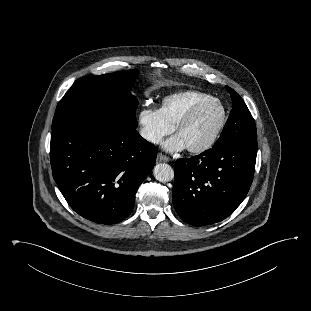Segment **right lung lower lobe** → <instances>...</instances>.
I'll return each instance as SVG.
<instances>
[{
	"mask_svg": "<svg viewBox=\"0 0 311 311\" xmlns=\"http://www.w3.org/2000/svg\"><path fill=\"white\" fill-rule=\"evenodd\" d=\"M156 156V147L133 127L85 124L51 134L55 182L76 213L99 224L129 216Z\"/></svg>",
	"mask_w": 311,
	"mask_h": 311,
	"instance_id": "obj_1",
	"label": "right lung lower lobe"
}]
</instances>
